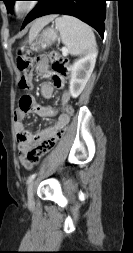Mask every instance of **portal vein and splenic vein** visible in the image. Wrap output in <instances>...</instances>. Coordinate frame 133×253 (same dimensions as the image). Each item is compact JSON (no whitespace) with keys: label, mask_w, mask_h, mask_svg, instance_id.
Masks as SVG:
<instances>
[{"label":"portal vein and splenic vein","mask_w":133,"mask_h":253,"mask_svg":"<svg viewBox=\"0 0 133 253\" xmlns=\"http://www.w3.org/2000/svg\"><path fill=\"white\" fill-rule=\"evenodd\" d=\"M62 54H63V55H67V54H68V49L65 48V47H63V48H62Z\"/></svg>","instance_id":"obj_1"}]
</instances>
